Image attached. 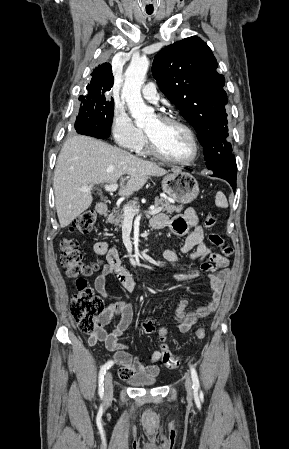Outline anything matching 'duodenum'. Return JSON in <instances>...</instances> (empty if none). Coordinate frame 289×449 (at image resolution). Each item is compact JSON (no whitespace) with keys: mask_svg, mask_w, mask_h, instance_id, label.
<instances>
[{"mask_svg":"<svg viewBox=\"0 0 289 449\" xmlns=\"http://www.w3.org/2000/svg\"><path fill=\"white\" fill-rule=\"evenodd\" d=\"M98 211L101 215H107L109 213V209L105 205L100 206Z\"/></svg>","mask_w":289,"mask_h":449,"instance_id":"duodenum-1","label":"duodenum"}]
</instances>
